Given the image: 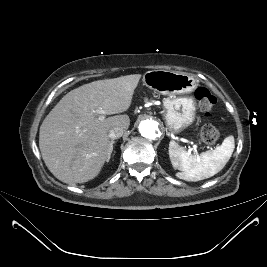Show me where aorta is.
<instances>
[{
  "mask_svg": "<svg viewBox=\"0 0 267 267\" xmlns=\"http://www.w3.org/2000/svg\"><path fill=\"white\" fill-rule=\"evenodd\" d=\"M139 131L141 135L148 139H155L158 135V123L152 119H146L140 122Z\"/></svg>",
  "mask_w": 267,
  "mask_h": 267,
  "instance_id": "762f6f07",
  "label": "aorta"
}]
</instances>
